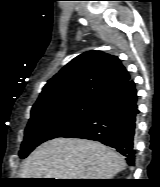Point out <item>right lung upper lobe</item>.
I'll return each mask as SVG.
<instances>
[{
	"label": "right lung upper lobe",
	"instance_id": "obj_1",
	"mask_svg": "<svg viewBox=\"0 0 160 187\" xmlns=\"http://www.w3.org/2000/svg\"><path fill=\"white\" fill-rule=\"evenodd\" d=\"M129 80V73L116 56L88 51L70 61L47 82L33 108L74 100L98 101Z\"/></svg>",
	"mask_w": 160,
	"mask_h": 187
}]
</instances>
